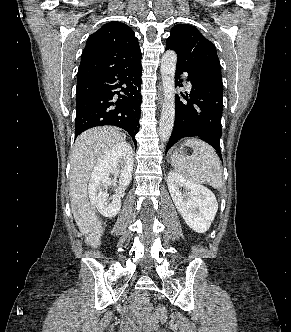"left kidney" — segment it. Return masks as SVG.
Segmentation results:
<instances>
[{
  "label": "left kidney",
  "instance_id": "5707ae66",
  "mask_svg": "<svg viewBox=\"0 0 291 332\" xmlns=\"http://www.w3.org/2000/svg\"><path fill=\"white\" fill-rule=\"evenodd\" d=\"M167 184L175 206L187 225L195 232H206L218 210L213 192L175 171L168 173Z\"/></svg>",
  "mask_w": 291,
  "mask_h": 332
}]
</instances>
